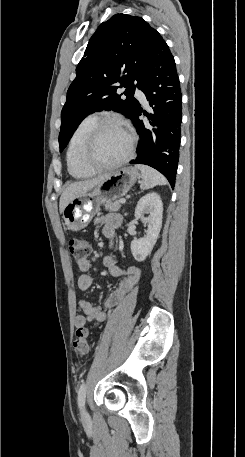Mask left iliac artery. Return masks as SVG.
<instances>
[{
    "label": "left iliac artery",
    "instance_id": "44dca946",
    "mask_svg": "<svg viewBox=\"0 0 245 457\" xmlns=\"http://www.w3.org/2000/svg\"><path fill=\"white\" fill-rule=\"evenodd\" d=\"M85 398H86V385H85V383H82L78 390V405L80 408H82L84 406Z\"/></svg>",
    "mask_w": 245,
    "mask_h": 457
}]
</instances>
